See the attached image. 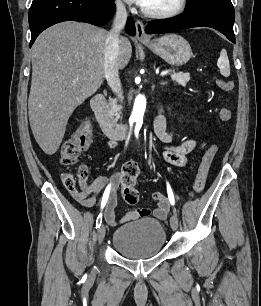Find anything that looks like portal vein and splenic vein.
<instances>
[{"label": "portal vein and splenic vein", "mask_w": 261, "mask_h": 306, "mask_svg": "<svg viewBox=\"0 0 261 306\" xmlns=\"http://www.w3.org/2000/svg\"><path fill=\"white\" fill-rule=\"evenodd\" d=\"M170 72L169 71H163V72H161V76H164V75H167V74H169Z\"/></svg>", "instance_id": "18ae733b"}]
</instances>
